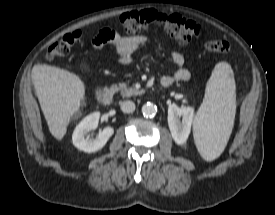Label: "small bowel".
<instances>
[{
  "label": "small bowel",
  "instance_id": "c3829d8e",
  "mask_svg": "<svg viewBox=\"0 0 275 215\" xmlns=\"http://www.w3.org/2000/svg\"><path fill=\"white\" fill-rule=\"evenodd\" d=\"M147 43L148 38L145 35L120 36L110 28L102 29L92 40V46L94 48H99L104 44L111 45L119 60L124 64L131 63L133 53ZM171 58L176 66V70L172 75L163 76L161 84L168 83L170 85L175 81H187L190 78V72L184 67L183 55L178 51H174L171 54Z\"/></svg>",
  "mask_w": 275,
  "mask_h": 215
}]
</instances>
